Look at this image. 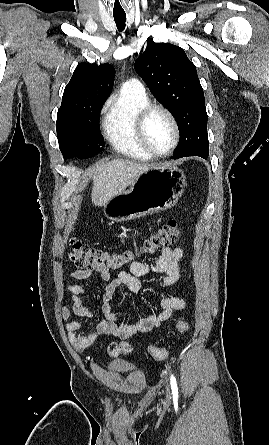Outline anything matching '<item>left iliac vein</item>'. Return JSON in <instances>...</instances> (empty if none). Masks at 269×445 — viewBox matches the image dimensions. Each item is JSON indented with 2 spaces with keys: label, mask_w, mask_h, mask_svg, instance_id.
Returning <instances> with one entry per match:
<instances>
[{
  "label": "left iliac vein",
  "mask_w": 269,
  "mask_h": 445,
  "mask_svg": "<svg viewBox=\"0 0 269 445\" xmlns=\"http://www.w3.org/2000/svg\"><path fill=\"white\" fill-rule=\"evenodd\" d=\"M169 394V388L167 387V395Z\"/></svg>",
  "instance_id": "4c4485c4"
}]
</instances>
